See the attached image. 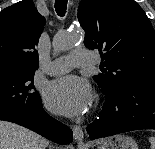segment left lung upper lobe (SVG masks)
Masks as SVG:
<instances>
[{
	"mask_svg": "<svg viewBox=\"0 0 155 149\" xmlns=\"http://www.w3.org/2000/svg\"><path fill=\"white\" fill-rule=\"evenodd\" d=\"M78 20L86 47L105 61L106 69L93 77L103 91L155 77V32L134 0H82Z\"/></svg>",
	"mask_w": 155,
	"mask_h": 149,
	"instance_id": "1",
	"label": "left lung upper lobe"
}]
</instances>
